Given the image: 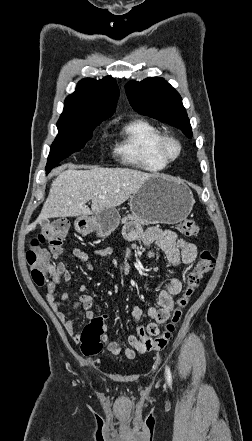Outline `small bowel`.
<instances>
[{
    "label": "small bowel",
    "instance_id": "1",
    "mask_svg": "<svg viewBox=\"0 0 252 441\" xmlns=\"http://www.w3.org/2000/svg\"><path fill=\"white\" fill-rule=\"evenodd\" d=\"M125 238L130 242H141L145 247L150 248L153 244L161 249L168 261L169 266L176 267L180 264L190 265L197 257V247L195 244L180 238L172 230H163L157 227H150L146 230L141 229L136 225H129L124 230ZM61 254L60 251L53 252V258L57 259ZM72 254L79 259L88 269L93 266L90 261V256L78 247L72 249ZM112 254L111 248H97L93 251L96 256H108ZM149 256L152 257V251H149ZM50 281L46 287V300L50 307L56 314L57 318L63 325L66 332L76 341L80 342V332L74 327L73 320L67 317L62 307L70 305L72 309L83 310L88 319L95 317L92 310L93 298L86 293L87 288L81 285L78 289L80 296L77 300H71L68 292L59 294L60 284L64 281L69 284L71 281V273L67 266L58 262L51 265L49 269ZM182 290V283L179 279L171 277L166 282L164 288L158 294V306L150 307L148 315L151 322L147 325L146 330L150 335H157L160 326L169 318L174 307V297ZM142 309L139 306H134L132 309V317L135 322H138L142 316ZM102 342L104 348L113 355H118L124 352L129 359L135 357L136 353L145 352L144 344L137 335H130L128 342L131 347L124 350L120 344L113 339H110L106 332L102 335Z\"/></svg>",
    "mask_w": 252,
    "mask_h": 441
}]
</instances>
